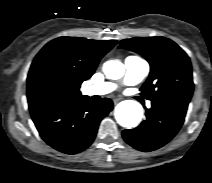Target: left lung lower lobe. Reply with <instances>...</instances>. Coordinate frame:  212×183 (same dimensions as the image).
<instances>
[{"mask_svg": "<svg viewBox=\"0 0 212 183\" xmlns=\"http://www.w3.org/2000/svg\"><path fill=\"white\" fill-rule=\"evenodd\" d=\"M188 104L152 101L146 120L138 127L124 130V140L137 150L149 152L168 143L181 128Z\"/></svg>", "mask_w": 212, "mask_h": 183, "instance_id": "1", "label": "left lung lower lobe"}]
</instances>
